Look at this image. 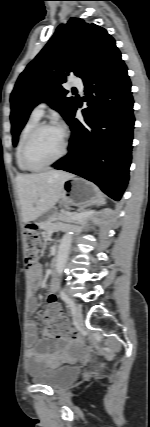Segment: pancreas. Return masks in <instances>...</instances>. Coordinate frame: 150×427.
<instances>
[{
	"instance_id": "cf45deb5",
	"label": "pancreas",
	"mask_w": 150,
	"mask_h": 427,
	"mask_svg": "<svg viewBox=\"0 0 150 427\" xmlns=\"http://www.w3.org/2000/svg\"><path fill=\"white\" fill-rule=\"evenodd\" d=\"M77 218V215L68 211H62L58 214L57 218H55L54 224H43V229L52 232L53 230L59 231L63 230L69 226L70 223L74 222Z\"/></svg>"
}]
</instances>
